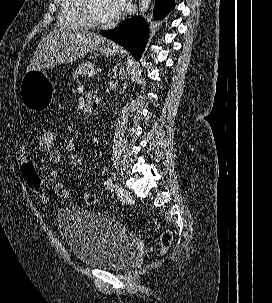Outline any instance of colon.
<instances>
[{"label":"colon","mask_w":272,"mask_h":303,"mask_svg":"<svg viewBox=\"0 0 272 303\" xmlns=\"http://www.w3.org/2000/svg\"><path fill=\"white\" fill-rule=\"evenodd\" d=\"M36 139L45 148H55L56 145V132L51 126L43 127ZM84 164V156L81 152H75L69 157V168L72 172L79 171ZM21 173L27 184L37 193L42 192V184L46 180L45 177H40L33 165L25 163L21 166ZM55 193L61 198H66L70 194V190L62 183L55 186ZM85 202L88 205H95L97 203V197L95 194L86 192L83 195ZM172 242V233L170 230H165L160 236V249L165 251Z\"/></svg>","instance_id":"5ec220e1"}]
</instances>
